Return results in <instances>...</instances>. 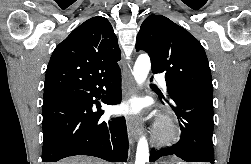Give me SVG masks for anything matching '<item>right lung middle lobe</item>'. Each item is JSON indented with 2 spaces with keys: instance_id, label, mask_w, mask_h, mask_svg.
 Instances as JSON below:
<instances>
[{
  "instance_id": "obj_1",
  "label": "right lung middle lobe",
  "mask_w": 251,
  "mask_h": 164,
  "mask_svg": "<svg viewBox=\"0 0 251 164\" xmlns=\"http://www.w3.org/2000/svg\"><path fill=\"white\" fill-rule=\"evenodd\" d=\"M56 91H52V92H48V93H44V97H46L47 95L51 94V93H55Z\"/></svg>"
}]
</instances>
